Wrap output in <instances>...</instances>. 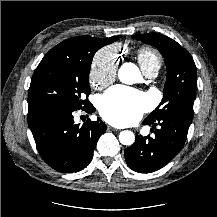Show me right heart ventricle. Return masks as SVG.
Returning a JSON list of instances; mask_svg holds the SVG:
<instances>
[{
	"mask_svg": "<svg viewBox=\"0 0 217 217\" xmlns=\"http://www.w3.org/2000/svg\"><path fill=\"white\" fill-rule=\"evenodd\" d=\"M136 59L144 72L152 68L161 67L159 54L150 47H141L136 51Z\"/></svg>",
	"mask_w": 217,
	"mask_h": 217,
	"instance_id": "obj_1",
	"label": "right heart ventricle"
}]
</instances>
